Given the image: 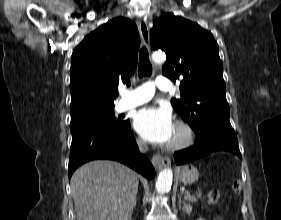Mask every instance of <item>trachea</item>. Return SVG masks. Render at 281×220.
<instances>
[{"mask_svg": "<svg viewBox=\"0 0 281 220\" xmlns=\"http://www.w3.org/2000/svg\"><path fill=\"white\" fill-rule=\"evenodd\" d=\"M139 78L144 76H151L152 74V65L149 60V54L145 47L140 50L139 53V69H138Z\"/></svg>", "mask_w": 281, "mask_h": 220, "instance_id": "3493384b", "label": "trachea"}]
</instances>
